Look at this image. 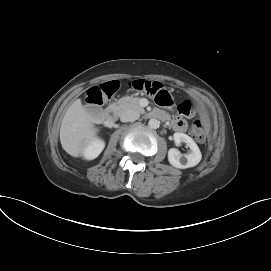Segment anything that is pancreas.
<instances>
[{"label":"pancreas","instance_id":"pancreas-1","mask_svg":"<svg viewBox=\"0 0 271 271\" xmlns=\"http://www.w3.org/2000/svg\"><path fill=\"white\" fill-rule=\"evenodd\" d=\"M139 101L140 98L138 97L126 96L120 98L116 103H113L111 108L118 113H122L126 110H136L139 113H144L145 110L140 106Z\"/></svg>","mask_w":271,"mask_h":271}]
</instances>
